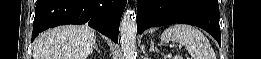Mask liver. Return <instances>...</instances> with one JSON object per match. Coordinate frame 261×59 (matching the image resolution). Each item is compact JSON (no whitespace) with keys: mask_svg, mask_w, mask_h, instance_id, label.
Returning <instances> with one entry per match:
<instances>
[{"mask_svg":"<svg viewBox=\"0 0 261 59\" xmlns=\"http://www.w3.org/2000/svg\"><path fill=\"white\" fill-rule=\"evenodd\" d=\"M95 41L93 29L86 25L49 29L36 38L33 59H87Z\"/></svg>","mask_w":261,"mask_h":59,"instance_id":"obj_1","label":"liver"}]
</instances>
